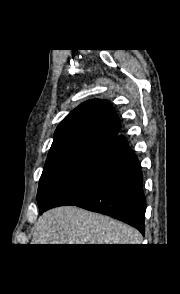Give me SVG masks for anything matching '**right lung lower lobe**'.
Instances as JSON below:
<instances>
[{"mask_svg": "<svg viewBox=\"0 0 180 294\" xmlns=\"http://www.w3.org/2000/svg\"><path fill=\"white\" fill-rule=\"evenodd\" d=\"M63 205L109 215L145 234L143 175L138 158L119 131L99 144L40 213Z\"/></svg>", "mask_w": 180, "mask_h": 294, "instance_id": "98d812e1", "label": "right lung lower lobe"}]
</instances>
